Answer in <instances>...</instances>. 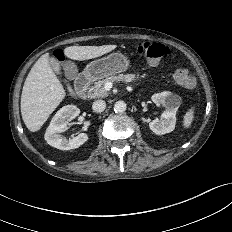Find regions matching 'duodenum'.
Listing matches in <instances>:
<instances>
[{
    "instance_id": "duodenum-1",
    "label": "duodenum",
    "mask_w": 232,
    "mask_h": 232,
    "mask_svg": "<svg viewBox=\"0 0 232 232\" xmlns=\"http://www.w3.org/2000/svg\"><path fill=\"white\" fill-rule=\"evenodd\" d=\"M90 82V76L80 73L74 81L75 89L79 95H84Z\"/></svg>"
}]
</instances>
